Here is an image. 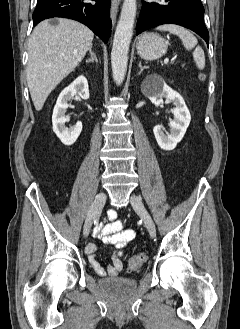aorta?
Listing matches in <instances>:
<instances>
[{
	"label": "aorta",
	"instance_id": "1",
	"mask_svg": "<svg viewBox=\"0 0 240 329\" xmlns=\"http://www.w3.org/2000/svg\"><path fill=\"white\" fill-rule=\"evenodd\" d=\"M136 10V0H124L111 52L112 75L118 85L123 82L127 71Z\"/></svg>",
	"mask_w": 240,
	"mask_h": 329
}]
</instances>
